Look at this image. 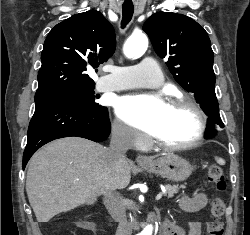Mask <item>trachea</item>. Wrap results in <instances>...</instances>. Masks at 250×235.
<instances>
[{"label": "trachea", "mask_w": 250, "mask_h": 235, "mask_svg": "<svg viewBox=\"0 0 250 235\" xmlns=\"http://www.w3.org/2000/svg\"><path fill=\"white\" fill-rule=\"evenodd\" d=\"M134 13V6H122V21H121V27L125 28L128 23L131 21L132 16Z\"/></svg>", "instance_id": "obj_1"}]
</instances>
